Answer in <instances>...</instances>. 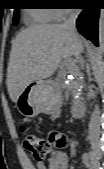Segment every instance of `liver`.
<instances>
[{"mask_svg":"<svg viewBox=\"0 0 104 169\" xmlns=\"http://www.w3.org/2000/svg\"><path fill=\"white\" fill-rule=\"evenodd\" d=\"M82 39L63 24L32 25L20 31L12 42L7 68V89L16 102L33 81L53 75L63 58L79 57Z\"/></svg>","mask_w":104,"mask_h":169,"instance_id":"obj_1","label":"liver"}]
</instances>
